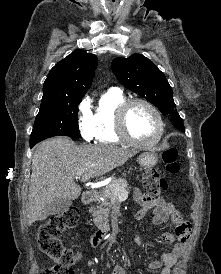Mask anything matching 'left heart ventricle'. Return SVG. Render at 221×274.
Masks as SVG:
<instances>
[{"mask_svg":"<svg viewBox=\"0 0 221 274\" xmlns=\"http://www.w3.org/2000/svg\"><path fill=\"white\" fill-rule=\"evenodd\" d=\"M127 128L130 135L140 142L152 141L158 132L154 114L144 105H133L127 115Z\"/></svg>","mask_w":221,"mask_h":274,"instance_id":"1","label":"left heart ventricle"}]
</instances>
